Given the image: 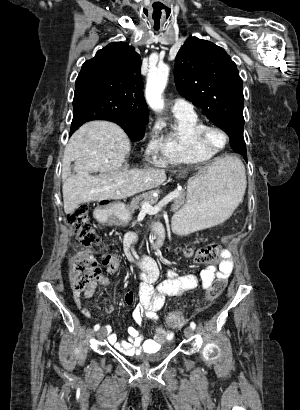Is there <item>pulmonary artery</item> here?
<instances>
[{
	"label": "pulmonary artery",
	"mask_w": 300,
	"mask_h": 410,
	"mask_svg": "<svg viewBox=\"0 0 300 410\" xmlns=\"http://www.w3.org/2000/svg\"><path fill=\"white\" fill-rule=\"evenodd\" d=\"M172 110L173 112H190L193 111V106L184 99L176 98L173 101Z\"/></svg>",
	"instance_id": "obj_1"
}]
</instances>
